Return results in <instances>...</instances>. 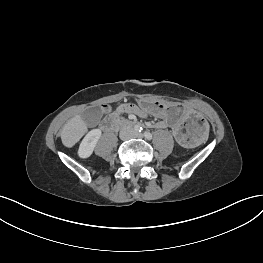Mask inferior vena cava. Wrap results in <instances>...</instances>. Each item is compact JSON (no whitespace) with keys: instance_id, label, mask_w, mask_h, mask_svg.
<instances>
[{"instance_id":"1","label":"inferior vena cava","mask_w":263,"mask_h":263,"mask_svg":"<svg viewBox=\"0 0 263 263\" xmlns=\"http://www.w3.org/2000/svg\"><path fill=\"white\" fill-rule=\"evenodd\" d=\"M124 131H125V130H122V131H121V134H122Z\"/></svg>"}]
</instances>
